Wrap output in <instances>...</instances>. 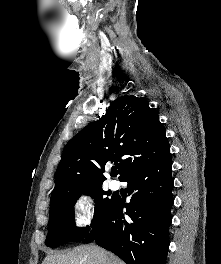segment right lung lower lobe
Instances as JSON below:
<instances>
[{
	"instance_id": "obj_1",
	"label": "right lung lower lobe",
	"mask_w": 221,
	"mask_h": 264,
	"mask_svg": "<svg viewBox=\"0 0 221 264\" xmlns=\"http://www.w3.org/2000/svg\"><path fill=\"white\" fill-rule=\"evenodd\" d=\"M171 170L172 158L168 153L156 163L127 175L121 181L128 183L130 203L118 197L82 241H95L126 264H165L172 221Z\"/></svg>"
}]
</instances>
